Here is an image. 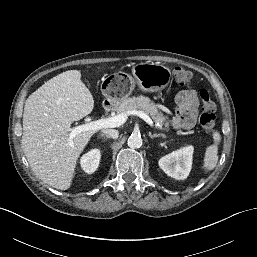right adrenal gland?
Returning a JSON list of instances; mask_svg holds the SVG:
<instances>
[{"label":"right adrenal gland","mask_w":257,"mask_h":257,"mask_svg":"<svg viewBox=\"0 0 257 257\" xmlns=\"http://www.w3.org/2000/svg\"><path fill=\"white\" fill-rule=\"evenodd\" d=\"M99 137L102 138L103 140L108 139V136H106V135H104V134H100Z\"/></svg>","instance_id":"obj_1"}]
</instances>
